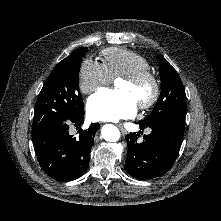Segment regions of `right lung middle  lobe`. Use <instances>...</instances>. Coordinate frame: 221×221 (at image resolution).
Returning <instances> with one entry per match:
<instances>
[{"mask_svg":"<svg viewBox=\"0 0 221 221\" xmlns=\"http://www.w3.org/2000/svg\"><path fill=\"white\" fill-rule=\"evenodd\" d=\"M87 47L78 49L63 59L45 81L35 105L32 135L50 124L84 113L79 90V71Z\"/></svg>","mask_w":221,"mask_h":221,"instance_id":"right-lung-middle-lobe-1","label":"right lung middle lobe"}]
</instances>
